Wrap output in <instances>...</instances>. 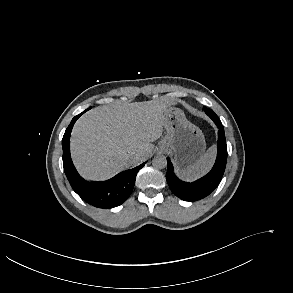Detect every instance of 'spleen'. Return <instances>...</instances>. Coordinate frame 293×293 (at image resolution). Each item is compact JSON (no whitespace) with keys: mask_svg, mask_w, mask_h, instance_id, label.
Here are the masks:
<instances>
[{"mask_svg":"<svg viewBox=\"0 0 293 293\" xmlns=\"http://www.w3.org/2000/svg\"><path fill=\"white\" fill-rule=\"evenodd\" d=\"M216 155L215 146H211L198 161L180 172L186 180H194L205 175L212 167Z\"/></svg>","mask_w":293,"mask_h":293,"instance_id":"1","label":"spleen"}]
</instances>
